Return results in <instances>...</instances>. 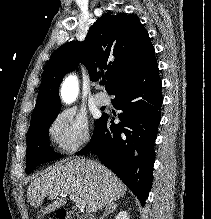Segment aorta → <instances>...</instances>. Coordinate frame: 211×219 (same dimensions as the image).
I'll return each mask as SVG.
<instances>
[{
    "instance_id": "1",
    "label": "aorta",
    "mask_w": 211,
    "mask_h": 219,
    "mask_svg": "<svg viewBox=\"0 0 211 219\" xmlns=\"http://www.w3.org/2000/svg\"><path fill=\"white\" fill-rule=\"evenodd\" d=\"M77 94H78V81L76 77L74 76L67 77L62 85V90H61V95L63 100L67 103H70L76 98Z\"/></svg>"
}]
</instances>
